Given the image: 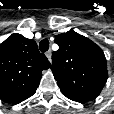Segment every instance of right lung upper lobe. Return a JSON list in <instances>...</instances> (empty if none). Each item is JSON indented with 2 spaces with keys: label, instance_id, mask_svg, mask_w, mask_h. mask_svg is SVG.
<instances>
[{
  "label": "right lung upper lobe",
  "instance_id": "1",
  "mask_svg": "<svg viewBox=\"0 0 114 114\" xmlns=\"http://www.w3.org/2000/svg\"><path fill=\"white\" fill-rule=\"evenodd\" d=\"M50 62L32 39L12 34L0 44V99L19 103L32 96Z\"/></svg>",
  "mask_w": 114,
  "mask_h": 114
}]
</instances>
